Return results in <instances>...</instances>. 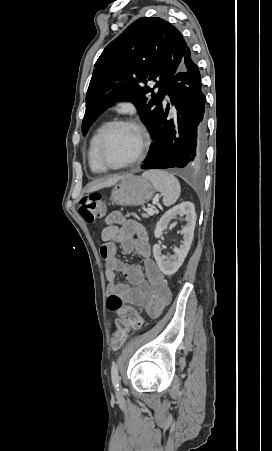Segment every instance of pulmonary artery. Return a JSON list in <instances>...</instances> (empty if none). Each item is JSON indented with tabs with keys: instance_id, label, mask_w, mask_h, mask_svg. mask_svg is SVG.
Masks as SVG:
<instances>
[{
	"instance_id": "e3ab8cb5",
	"label": "pulmonary artery",
	"mask_w": 272,
	"mask_h": 451,
	"mask_svg": "<svg viewBox=\"0 0 272 451\" xmlns=\"http://www.w3.org/2000/svg\"><path fill=\"white\" fill-rule=\"evenodd\" d=\"M166 97L169 99L171 96L168 94Z\"/></svg>"
}]
</instances>
